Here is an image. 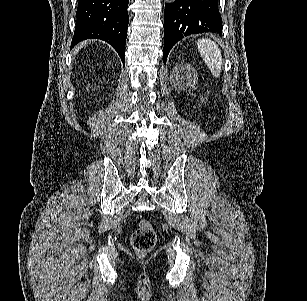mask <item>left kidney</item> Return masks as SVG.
<instances>
[{"instance_id":"5707ae66","label":"left kidney","mask_w":307,"mask_h":301,"mask_svg":"<svg viewBox=\"0 0 307 301\" xmlns=\"http://www.w3.org/2000/svg\"><path fill=\"white\" fill-rule=\"evenodd\" d=\"M175 80L178 86H193L197 82V72L191 64H178L173 68Z\"/></svg>"}]
</instances>
